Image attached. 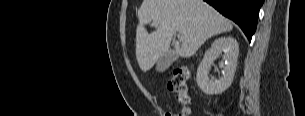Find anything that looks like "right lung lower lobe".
<instances>
[{"instance_id":"98d812e1","label":"right lung lower lobe","mask_w":305,"mask_h":116,"mask_svg":"<svg viewBox=\"0 0 305 116\" xmlns=\"http://www.w3.org/2000/svg\"><path fill=\"white\" fill-rule=\"evenodd\" d=\"M221 14L237 23L248 40L256 30L259 9L264 0H204Z\"/></svg>"}]
</instances>
